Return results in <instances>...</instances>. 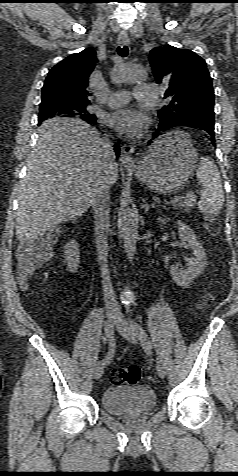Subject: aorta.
Returning a JSON list of instances; mask_svg holds the SVG:
<instances>
[{
    "label": "aorta",
    "mask_w": 238,
    "mask_h": 476,
    "mask_svg": "<svg viewBox=\"0 0 238 476\" xmlns=\"http://www.w3.org/2000/svg\"><path fill=\"white\" fill-rule=\"evenodd\" d=\"M146 79L147 74L139 65H124L116 75V80L120 82H143ZM122 226L125 253L129 261H132L136 253L138 221L136 211L130 206L123 209Z\"/></svg>",
    "instance_id": "1"
}]
</instances>
